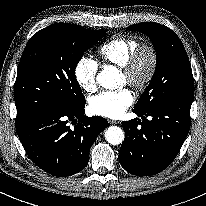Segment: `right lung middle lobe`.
<instances>
[{
    "instance_id": "right-lung-middle-lobe-1",
    "label": "right lung middle lobe",
    "mask_w": 206,
    "mask_h": 206,
    "mask_svg": "<svg viewBox=\"0 0 206 206\" xmlns=\"http://www.w3.org/2000/svg\"><path fill=\"white\" fill-rule=\"evenodd\" d=\"M105 35L106 30H90L70 23L53 24L34 34L17 70V118L84 102L75 69L83 53Z\"/></svg>"
}]
</instances>
